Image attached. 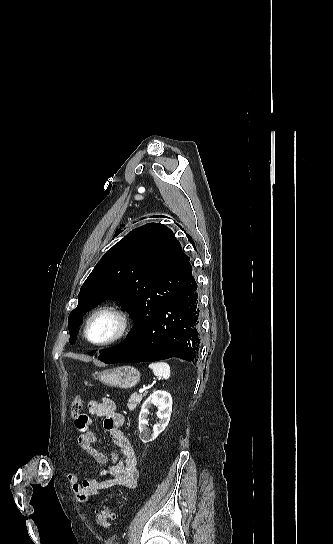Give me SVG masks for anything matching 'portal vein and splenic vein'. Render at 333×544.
I'll return each instance as SVG.
<instances>
[{"label":"portal vein and splenic vein","instance_id":"1","mask_svg":"<svg viewBox=\"0 0 333 544\" xmlns=\"http://www.w3.org/2000/svg\"><path fill=\"white\" fill-rule=\"evenodd\" d=\"M145 391V388H142L139 390V393H143Z\"/></svg>","mask_w":333,"mask_h":544}]
</instances>
